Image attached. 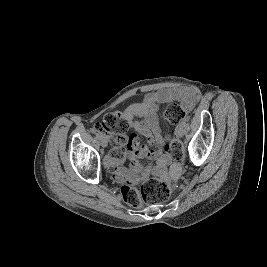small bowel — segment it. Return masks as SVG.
I'll use <instances>...</instances> for the list:
<instances>
[{"mask_svg":"<svg viewBox=\"0 0 267 267\" xmlns=\"http://www.w3.org/2000/svg\"><path fill=\"white\" fill-rule=\"evenodd\" d=\"M197 98L198 91L193 87L162 89L147 94L142 102L135 103L126 110L133 129L146 140V144H141L134 135L128 156L129 168L120 162L111 163L112 175L117 182L133 185L144 181L150 174L161 177L168 166L172 176L178 175L179 164L173 162L172 157L163 150V135L157 113L161 104L179 101L192 107ZM143 160H148L150 164L143 165Z\"/></svg>","mask_w":267,"mask_h":267,"instance_id":"obj_1","label":"small bowel"}]
</instances>
